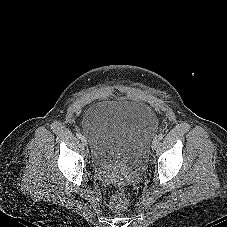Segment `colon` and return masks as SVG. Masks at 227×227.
Segmentation results:
<instances>
[{"instance_id":"5ec220e1","label":"colon","mask_w":227,"mask_h":227,"mask_svg":"<svg viewBox=\"0 0 227 227\" xmlns=\"http://www.w3.org/2000/svg\"><path fill=\"white\" fill-rule=\"evenodd\" d=\"M110 204L111 207L117 212L126 210L129 206V198L126 190L120 189L119 191L115 192L111 197Z\"/></svg>"}]
</instances>
